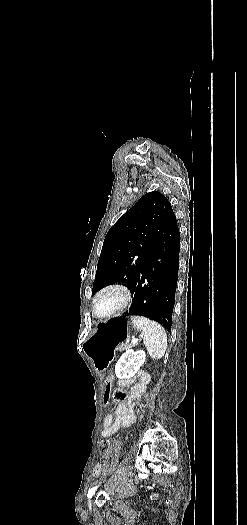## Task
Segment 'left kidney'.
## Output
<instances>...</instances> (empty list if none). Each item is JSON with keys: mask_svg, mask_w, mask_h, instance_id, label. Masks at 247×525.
<instances>
[{"mask_svg": "<svg viewBox=\"0 0 247 525\" xmlns=\"http://www.w3.org/2000/svg\"><path fill=\"white\" fill-rule=\"evenodd\" d=\"M145 351H133L128 349L126 353H123L118 363L115 365V373L117 377L126 375V377H134L140 367L145 363Z\"/></svg>", "mask_w": 247, "mask_h": 525, "instance_id": "5707ae66", "label": "left kidney"}]
</instances>
